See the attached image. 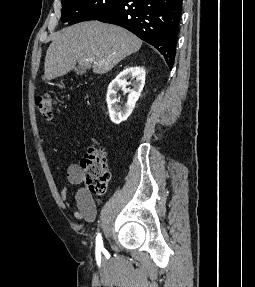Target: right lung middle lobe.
I'll return each mask as SVG.
<instances>
[{"label": "right lung middle lobe", "mask_w": 255, "mask_h": 287, "mask_svg": "<svg viewBox=\"0 0 255 287\" xmlns=\"http://www.w3.org/2000/svg\"><path fill=\"white\" fill-rule=\"evenodd\" d=\"M61 21L74 24L95 20L108 9L115 7L123 0H61Z\"/></svg>", "instance_id": "obj_1"}]
</instances>
